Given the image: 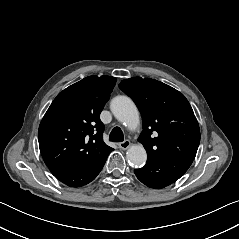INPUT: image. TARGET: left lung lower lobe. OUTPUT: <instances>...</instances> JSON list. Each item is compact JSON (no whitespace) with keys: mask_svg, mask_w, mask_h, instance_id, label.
Wrapping results in <instances>:
<instances>
[{"mask_svg":"<svg viewBox=\"0 0 239 239\" xmlns=\"http://www.w3.org/2000/svg\"><path fill=\"white\" fill-rule=\"evenodd\" d=\"M191 164L192 161L186 159H147L145 167L135 169L134 173L146 186L160 189L182 177Z\"/></svg>","mask_w":239,"mask_h":239,"instance_id":"obj_1","label":"left lung lower lobe"}]
</instances>
